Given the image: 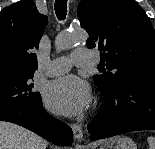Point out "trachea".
Instances as JSON below:
<instances>
[{
	"label": "trachea",
	"mask_w": 155,
	"mask_h": 149,
	"mask_svg": "<svg viewBox=\"0 0 155 149\" xmlns=\"http://www.w3.org/2000/svg\"><path fill=\"white\" fill-rule=\"evenodd\" d=\"M55 12L59 20H64L67 14V0H56Z\"/></svg>",
	"instance_id": "obj_1"
}]
</instances>
